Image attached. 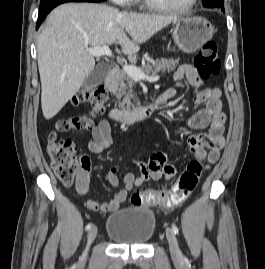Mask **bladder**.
<instances>
[{
    "label": "bladder",
    "mask_w": 265,
    "mask_h": 269,
    "mask_svg": "<svg viewBox=\"0 0 265 269\" xmlns=\"http://www.w3.org/2000/svg\"><path fill=\"white\" fill-rule=\"evenodd\" d=\"M156 231V218L152 209L126 207L107 218L106 234L116 244L146 245Z\"/></svg>",
    "instance_id": "31cf9c89"
}]
</instances>
